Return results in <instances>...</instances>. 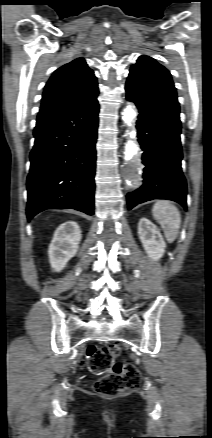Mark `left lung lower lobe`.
<instances>
[{"instance_id":"left-lung-lower-lobe-1","label":"left lung lower lobe","mask_w":212,"mask_h":438,"mask_svg":"<svg viewBox=\"0 0 212 438\" xmlns=\"http://www.w3.org/2000/svg\"><path fill=\"white\" fill-rule=\"evenodd\" d=\"M127 100L139 109L138 142L144 151L143 184L127 194L128 208L152 199H168L185 209L187 186L182 173L181 122L177 99L126 83Z\"/></svg>"}]
</instances>
